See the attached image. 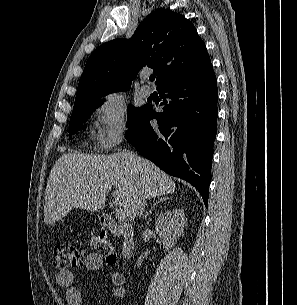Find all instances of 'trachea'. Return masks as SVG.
Listing matches in <instances>:
<instances>
[{
  "label": "trachea",
  "instance_id": "trachea-1",
  "mask_svg": "<svg viewBox=\"0 0 297 305\" xmlns=\"http://www.w3.org/2000/svg\"><path fill=\"white\" fill-rule=\"evenodd\" d=\"M149 80H150V81H154V80H155V75H151V76L149 77Z\"/></svg>",
  "mask_w": 297,
  "mask_h": 305
}]
</instances>
